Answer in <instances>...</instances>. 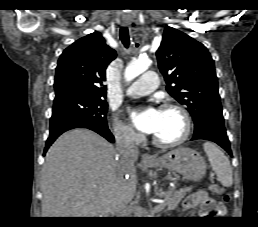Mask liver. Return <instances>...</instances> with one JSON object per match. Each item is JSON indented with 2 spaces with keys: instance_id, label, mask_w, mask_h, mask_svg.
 Listing matches in <instances>:
<instances>
[{
  "instance_id": "6515ba94",
  "label": "liver",
  "mask_w": 258,
  "mask_h": 227,
  "mask_svg": "<svg viewBox=\"0 0 258 227\" xmlns=\"http://www.w3.org/2000/svg\"><path fill=\"white\" fill-rule=\"evenodd\" d=\"M137 182L134 165H121L107 140L88 129L70 130L46 154L42 217H106L133 199Z\"/></svg>"
}]
</instances>
